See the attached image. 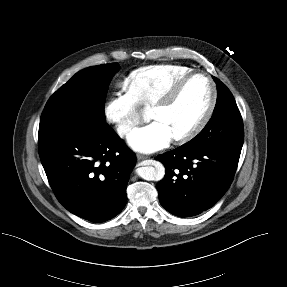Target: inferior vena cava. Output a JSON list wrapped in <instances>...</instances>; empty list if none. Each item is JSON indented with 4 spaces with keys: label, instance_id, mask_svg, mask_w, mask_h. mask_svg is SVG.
<instances>
[{
    "label": "inferior vena cava",
    "instance_id": "inferior-vena-cava-1",
    "mask_svg": "<svg viewBox=\"0 0 287 287\" xmlns=\"http://www.w3.org/2000/svg\"><path fill=\"white\" fill-rule=\"evenodd\" d=\"M132 126L130 125H124V126H120L117 128V132L120 136H123L124 134L128 133L129 131H131Z\"/></svg>",
    "mask_w": 287,
    "mask_h": 287
}]
</instances>
